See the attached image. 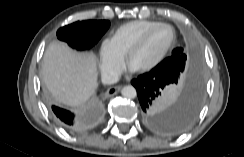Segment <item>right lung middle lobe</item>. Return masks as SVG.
Instances as JSON below:
<instances>
[{
  "mask_svg": "<svg viewBox=\"0 0 244 157\" xmlns=\"http://www.w3.org/2000/svg\"><path fill=\"white\" fill-rule=\"evenodd\" d=\"M109 26L110 23L106 20L78 21L60 28L57 37L73 48L88 49L98 42Z\"/></svg>",
  "mask_w": 244,
  "mask_h": 157,
  "instance_id": "dd1d6c3e",
  "label": "right lung middle lobe"
}]
</instances>
